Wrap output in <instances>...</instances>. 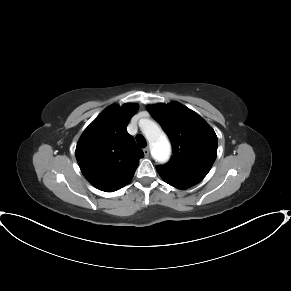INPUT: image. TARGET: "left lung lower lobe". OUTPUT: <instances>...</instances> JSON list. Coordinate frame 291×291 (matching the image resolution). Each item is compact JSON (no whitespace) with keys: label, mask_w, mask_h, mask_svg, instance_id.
<instances>
[{"label":"left lung lower lobe","mask_w":291,"mask_h":291,"mask_svg":"<svg viewBox=\"0 0 291 291\" xmlns=\"http://www.w3.org/2000/svg\"><path fill=\"white\" fill-rule=\"evenodd\" d=\"M173 186V185H172ZM174 187H176V188H178V189H186V188H188V187H179V186H174Z\"/></svg>","instance_id":"obj_1"}]
</instances>
